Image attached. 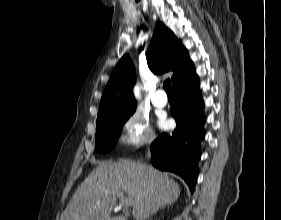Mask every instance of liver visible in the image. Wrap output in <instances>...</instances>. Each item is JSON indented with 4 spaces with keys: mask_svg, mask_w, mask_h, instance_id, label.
I'll list each match as a JSON object with an SVG mask.
<instances>
[{
    "mask_svg": "<svg viewBox=\"0 0 281 220\" xmlns=\"http://www.w3.org/2000/svg\"><path fill=\"white\" fill-rule=\"evenodd\" d=\"M114 192H122L132 201L135 220H146L174 203L180 187L167 174L146 164L128 160L101 163L78 186L61 220H111L117 202Z\"/></svg>",
    "mask_w": 281,
    "mask_h": 220,
    "instance_id": "1",
    "label": "liver"
}]
</instances>
